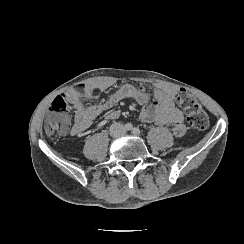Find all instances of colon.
<instances>
[{"instance_id": "5ec220e1", "label": "colon", "mask_w": 244, "mask_h": 244, "mask_svg": "<svg viewBox=\"0 0 244 244\" xmlns=\"http://www.w3.org/2000/svg\"><path fill=\"white\" fill-rule=\"evenodd\" d=\"M67 91L69 95L79 94L81 97L86 98L90 94L98 95L100 90L95 85L89 89L79 84L69 86ZM177 103L187 111L188 121L192 127L204 130L209 126L208 114L195 96L186 91L179 92ZM72 113L73 109L68 97L64 94L56 96L49 106V113L45 120L46 133L51 137L67 133L70 129Z\"/></svg>"}]
</instances>
